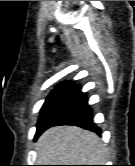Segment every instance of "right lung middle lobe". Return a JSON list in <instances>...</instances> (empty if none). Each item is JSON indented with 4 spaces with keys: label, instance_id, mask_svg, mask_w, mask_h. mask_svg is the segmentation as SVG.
<instances>
[{
    "label": "right lung middle lobe",
    "instance_id": "1",
    "mask_svg": "<svg viewBox=\"0 0 135 166\" xmlns=\"http://www.w3.org/2000/svg\"><path fill=\"white\" fill-rule=\"evenodd\" d=\"M72 98L69 88L50 94L41 108L37 132L60 117L69 107Z\"/></svg>",
    "mask_w": 135,
    "mask_h": 166
}]
</instances>
